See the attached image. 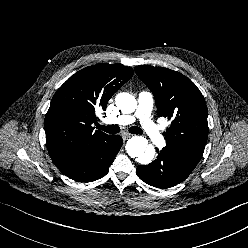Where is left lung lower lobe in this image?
Segmentation results:
<instances>
[{
    "instance_id": "left-lung-lower-lobe-1",
    "label": "left lung lower lobe",
    "mask_w": 248,
    "mask_h": 248,
    "mask_svg": "<svg viewBox=\"0 0 248 248\" xmlns=\"http://www.w3.org/2000/svg\"><path fill=\"white\" fill-rule=\"evenodd\" d=\"M156 151V160L136 169L138 177L145 183L160 189L170 188L184 181L192 172V169L182 165L169 154L157 148Z\"/></svg>"
}]
</instances>
